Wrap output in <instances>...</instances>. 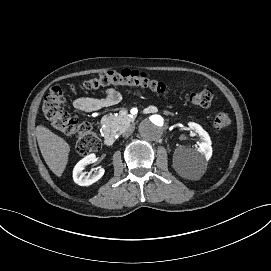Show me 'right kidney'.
Here are the masks:
<instances>
[{
	"label": "right kidney",
	"instance_id": "ca27d5eb",
	"mask_svg": "<svg viewBox=\"0 0 271 271\" xmlns=\"http://www.w3.org/2000/svg\"><path fill=\"white\" fill-rule=\"evenodd\" d=\"M96 161L95 156L89 155L80 160L73 168L72 177L73 181L79 185H90L100 179L104 173V169L96 167L93 173H82V170L86 164L94 163Z\"/></svg>",
	"mask_w": 271,
	"mask_h": 271
}]
</instances>
